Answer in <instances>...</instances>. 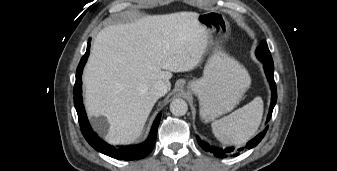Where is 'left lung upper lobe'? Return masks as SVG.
Returning a JSON list of instances; mask_svg holds the SVG:
<instances>
[{"label":"left lung upper lobe","mask_w":337,"mask_h":171,"mask_svg":"<svg viewBox=\"0 0 337 171\" xmlns=\"http://www.w3.org/2000/svg\"><path fill=\"white\" fill-rule=\"evenodd\" d=\"M256 56L262 61H273L266 41H262L256 49Z\"/></svg>","instance_id":"1"}]
</instances>
